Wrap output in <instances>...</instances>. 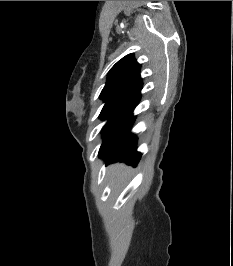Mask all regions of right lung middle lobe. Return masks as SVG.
<instances>
[{
	"mask_svg": "<svg viewBox=\"0 0 233 266\" xmlns=\"http://www.w3.org/2000/svg\"><path fill=\"white\" fill-rule=\"evenodd\" d=\"M102 99L105 105L99 117L107 120L102 130L103 146L132 116L134 108L140 101V93L112 95Z\"/></svg>",
	"mask_w": 233,
	"mask_h": 266,
	"instance_id": "right-lung-middle-lobe-1",
	"label": "right lung middle lobe"
}]
</instances>
